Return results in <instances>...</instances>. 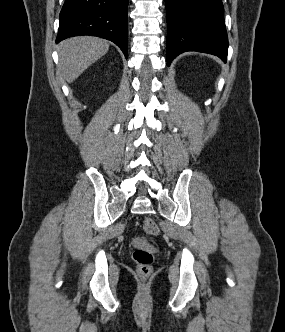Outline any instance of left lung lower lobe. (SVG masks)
<instances>
[{"label": "left lung lower lobe", "mask_w": 285, "mask_h": 332, "mask_svg": "<svg viewBox=\"0 0 285 332\" xmlns=\"http://www.w3.org/2000/svg\"><path fill=\"white\" fill-rule=\"evenodd\" d=\"M167 64L186 51L218 56L226 62L228 41L222 0H165Z\"/></svg>", "instance_id": "0a47b994"}]
</instances>
